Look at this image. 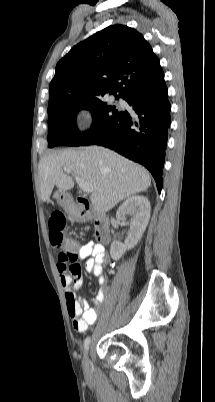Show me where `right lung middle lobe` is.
Segmentation results:
<instances>
[{"label": "right lung middle lobe", "instance_id": "1", "mask_svg": "<svg viewBox=\"0 0 215 402\" xmlns=\"http://www.w3.org/2000/svg\"><path fill=\"white\" fill-rule=\"evenodd\" d=\"M103 95L86 98L59 97L48 103V146H80L85 136L105 129L122 111L102 100ZM116 99L118 97L116 96ZM81 109L93 115L90 131L80 133L76 129V114Z\"/></svg>", "mask_w": 215, "mask_h": 402}]
</instances>
